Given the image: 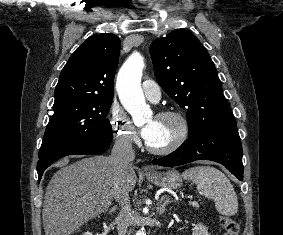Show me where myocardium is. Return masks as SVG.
<instances>
[{"label":"myocardium","instance_id":"obj_1","mask_svg":"<svg viewBox=\"0 0 283 235\" xmlns=\"http://www.w3.org/2000/svg\"><path fill=\"white\" fill-rule=\"evenodd\" d=\"M158 118L165 120H173L178 124V133L174 139L164 147H154L146 142V148L149 152L156 155H168L179 149L188 139L190 134V126L187 118L177 111H162L158 114Z\"/></svg>","mask_w":283,"mask_h":235}]
</instances>
